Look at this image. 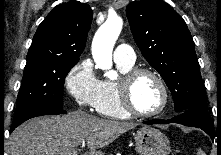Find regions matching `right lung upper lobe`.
Segmentation results:
<instances>
[{
    "mask_svg": "<svg viewBox=\"0 0 221 155\" xmlns=\"http://www.w3.org/2000/svg\"><path fill=\"white\" fill-rule=\"evenodd\" d=\"M92 15L90 6L78 1L56 6L39 25L26 59L78 62L86 45Z\"/></svg>",
    "mask_w": 221,
    "mask_h": 155,
    "instance_id": "1",
    "label": "right lung upper lobe"
}]
</instances>
